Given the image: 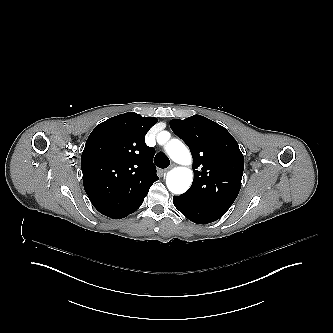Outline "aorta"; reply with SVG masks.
I'll return each instance as SVG.
<instances>
[{
	"instance_id": "aorta-1",
	"label": "aorta",
	"mask_w": 333,
	"mask_h": 333,
	"mask_svg": "<svg viewBox=\"0 0 333 333\" xmlns=\"http://www.w3.org/2000/svg\"><path fill=\"white\" fill-rule=\"evenodd\" d=\"M165 151L174 162L188 164L191 162L190 152L178 139L170 140ZM175 173L168 172L166 178L167 188L174 194L185 193L192 183V172L190 169L178 167Z\"/></svg>"
}]
</instances>
